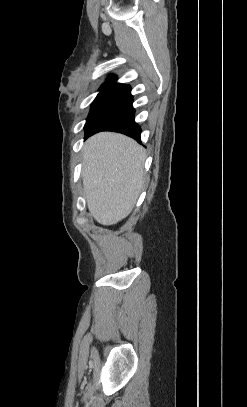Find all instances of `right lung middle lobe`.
<instances>
[{"label":"right lung middle lobe","instance_id":"1","mask_svg":"<svg viewBox=\"0 0 247 407\" xmlns=\"http://www.w3.org/2000/svg\"><path fill=\"white\" fill-rule=\"evenodd\" d=\"M132 99L130 90H113L98 94L91 105V110L84 126L86 135L95 129L107 116L132 101Z\"/></svg>","mask_w":247,"mask_h":407}]
</instances>
